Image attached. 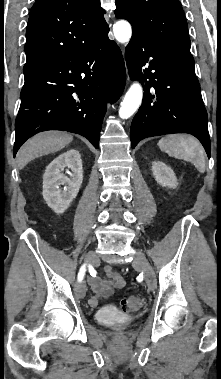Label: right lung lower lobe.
Returning a JSON list of instances; mask_svg holds the SVG:
<instances>
[{
    "instance_id": "right-lung-lower-lobe-1",
    "label": "right lung lower lobe",
    "mask_w": 221,
    "mask_h": 379,
    "mask_svg": "<svg viewBox=\"0 0 221 379\" xmlns=\"http://www.w3.org/2000/svg\"><path fill=\"white\" fill-rule=\"evenodd\" d=\"M108 32L84 49L24 70L14 157L46 130L80 134L98 149L105 104L119 99L126 82L121 51Z\"/></svg>"
}]
</instances>
